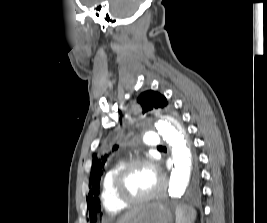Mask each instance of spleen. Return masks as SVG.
I'll list each match as a JSON object with an SVG mask.
<instances>
[{
	"label": "spleen",
	"instance_id": "3e777b00",
	"mask_svg": "<svg viewBox=\"0 0 267 223\" xmlns=\"http://www.w3.org/2000/svg\"><path fill=\"white\" fill-rule=\"evenodd\" d=\"M196 210L187 205L179 204L176 207V223H194Z\"/></svg>",
	"mask_w": 267,
	"mask_h": 223
}]
</instances>
